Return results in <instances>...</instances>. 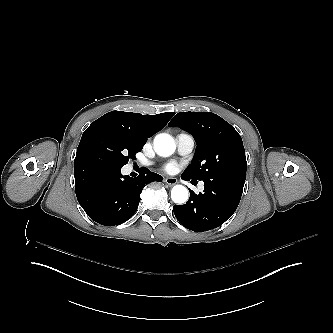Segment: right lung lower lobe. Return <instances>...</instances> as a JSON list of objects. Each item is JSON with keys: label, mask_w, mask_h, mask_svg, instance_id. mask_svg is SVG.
Segmentation results:
<instances>
[{"label": "right lung lower lobe", "mask_w": 333, "mask_h": 333, "mask_svg": "<svg viewBox=\"0 0 333 333\" xmlns=\"http://www.w3.org/2000/svg\"><path fill=\"white\" fill-rule=\"evenodd\" d=\"M75 190L81 207L104 226L124 223L133 216L144 186L162 176L143 168L138 177L121 174L97 157L77 155L74 161Z\"/></svg>", "instance_id": "obj_1"}]
</instances>
